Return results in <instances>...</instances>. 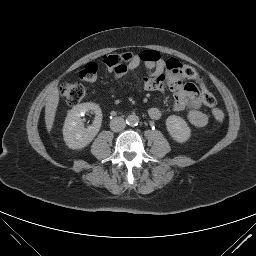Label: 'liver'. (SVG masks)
<instances>
[{
    "label": "liver",
    "mask_w": 256,
    "mask_h": 256,
    "mask_svg": "<svg viewBox=\"0 0 256 256\" xmlns=\"http://www.w3.org/2000/svg\"><path fill=\"white\" fill-rule=\"evenodd\" d=\"M58 103H59V91H58V88L55 87L52 89V91L48 95L46 106H45V123H46V129L48 132H50L53 127Z\"/></svg>",
    "instance_id": "1"
}]
</instances>
